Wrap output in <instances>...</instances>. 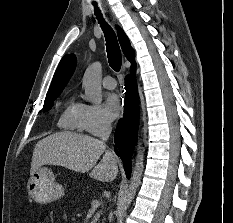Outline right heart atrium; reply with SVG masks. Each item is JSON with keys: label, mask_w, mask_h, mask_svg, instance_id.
<instances>
[{"label": "right heart atrium", "mask_w": 233, "mask_h": 223, "mask_svg": "<svg viewBox=\"0 0 233 223\" xmlns=\"http://www.w3.org/2000/svg\"><path fill=\"white\" fill-rule=\"evenodd\" d=\"M112 122L107 117L104 109L98 105L82 104L81 129L93 134L100 135L110 131Z\"/></svg>", "instance_id": "d8ad5b80"}]
</instances>
